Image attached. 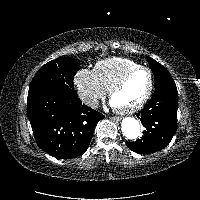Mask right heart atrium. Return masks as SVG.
Wrapping results in <instances>:
<instances>
[{
  "instance_id": "obj_1",
  "label": "right heart atrium",
  "mask_w": 200,
  "mask_h": 200,
  "mask_svg": "<svg viewBox=\"0 0 200 200\" xmlns=\"http://www.w3.org/2000/svg\"><path fill=\"white\" fill-rule=\"evenodd\" d=\"M73 83L79 98L89 108H96L107 93L93 69H79L74 75Z\"/></svg>"
}]
</instances>
